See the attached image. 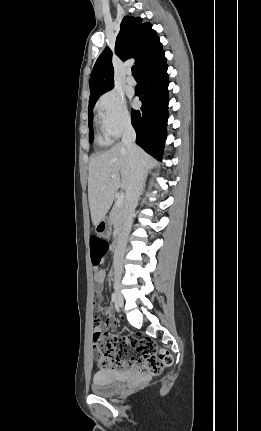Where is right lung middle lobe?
<instances>
[{"label": "right lung middle lobe", "instance_id": "dd1d6c3e", "mask_svg": "<svg viewBox=\"0 0 261 431\" xmlns=\"http://www.w3.org/2000/svg\"><path fill=\"white\" fill-rule=\"evenodd\" d=\"M103 94V93H101ZM97 95L96 97L89 99V106H88V115H89V139L90 141L93 140V130H92V111H93V107L97 101V99L99 98V96L101 95Z\"/></svg>", "mask_w": 261, "mask_h": 431}]
</instances>
